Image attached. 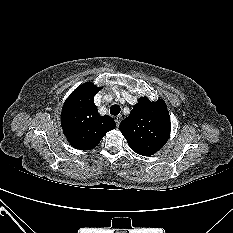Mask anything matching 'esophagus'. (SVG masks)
Returning <instances> with one entry per match:
<instances>
[{"instance_id": "1", "label": "esophagus", "mask_w": 233, "mask_h": 233, "mask_svg": "<svg viewBox=\"0 0 233 233\" xmlns=\"http://www.w3.org/2000/svg\"><path fill=\"white\" fill-rule=\"evenodd\" d=\"M121 120H122L121 115H118V116L115 117V121H116L117 126H119Z\"/></svg>"}]
</instances>
